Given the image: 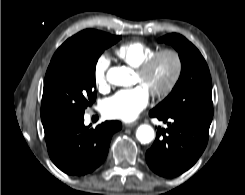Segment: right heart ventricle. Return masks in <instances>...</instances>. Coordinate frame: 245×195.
Segmentation results:
<instances>
[{
  "instance_id": "1",
  "label": "right heart ventricle",
  "mask_w": 245,
  "mask_h": 195,
  "mask_svg": "<svg viewBox=\"0 0 245 195\" xmlns=\"http://www.w3.org/2000/svg\"><path fill=\"white\" fill-rule=\"evenodd\" d=\"M156 51L154 46L145 42L130 41L120 45L115 50V54L125 64L136 69Z\"/></svg>"
}]
</instances>
